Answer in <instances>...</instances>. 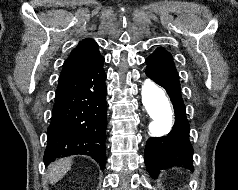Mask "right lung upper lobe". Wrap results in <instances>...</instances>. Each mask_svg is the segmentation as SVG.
<instances>
[{"instance_id":"obj_1","label":"right lung upper lobe","mask_w":238,"mask_h":190,"mask_svg":"<svg viewBox=\"0 0 238 190\" xmlns=\"http://www.w3.org/2000/svg\"><path fill=\"white\" fill-rule=\"evenodd\" d=\"M97 43L92 39H84L72 50L63 64L59 83L69 80L102 60Z\"/></svg>"}]
</instances>
